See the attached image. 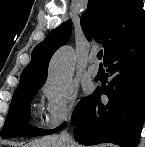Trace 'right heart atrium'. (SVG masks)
<instances>
[{
  "mask_svg": "<svg viewBox=\"0 0 145 147\" xmlns=\"http://www.w3.org/2000/svg\"><path fill=\"white\" fill-rule=\"evenodd\" d=\"M41 92L46 101L44 124L48 128H57L72 118L77 102L76 87H57L47 82Z\"/></svg>",
  "mask_w": 145,
  "mask_h": 147,
  "instance_id": "obj_1",
  "label": "right heart atrium"
}]
</instances>
